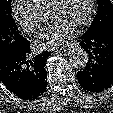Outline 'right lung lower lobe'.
<instances>
[{
    "instance_id": "1",
    "label": "right lung lower lobe",
    "mask_w": 113,
    "mask_h": 113,
    "mask_svg": "<svg viewBox=\"0 0 113 113\" xmlns=\"http://www.w3.org/2000/svg\"><path fill=\"white\" fill-rule=\"evenodd\" d=\"M30 45L26 40L19 48L0 60V80L7 89L22 100H34L47 86L46 61L50 52L30 57Z\"/></svg>"
}]
</instances>
